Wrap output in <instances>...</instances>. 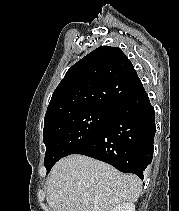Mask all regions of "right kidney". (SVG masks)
<instances>
[{
  "instance_id": "right-kidney-1",
  "label": "right kidney",
  "mask_w": 179,
  "mask_h": 211,
  "mask_svg": "<svg viewBox=\"0 0 179 211\" xmlns=\"http://www.w3.org/2000/svg\"><path fill=\"white\" fill-rule=\"evenodd\" d=\"M111 211H135V205L133 203H123L115 206Z\"/></svg>"
}]
</instances>
